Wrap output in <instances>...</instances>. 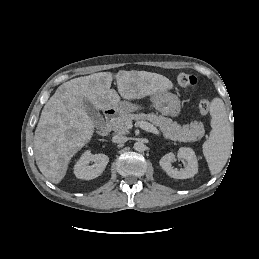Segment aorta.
<instances>
[{"label":"aorta","mask_w":259,"mask_h":259,"mask_svg":"<svg viewBox=\"0 0 259 259\" xmlns=\"http://www.w3.org/2000/svg\"><path fill=\"white\" fill-rule=\"evenodd\" d=\"M134 150L138 152H142L145 150V145L142 142H135L134 143Z\"/></svg>","instance_id":"obj_1"}]
</instances>
